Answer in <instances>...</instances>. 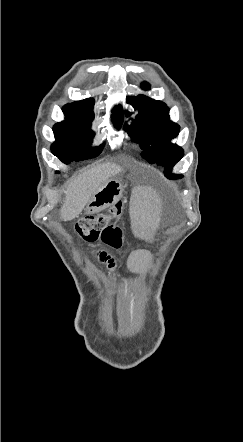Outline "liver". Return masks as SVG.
<instances>
[{
	"label": "liver",
	"mask_w": 243,
	"mask_h": 442,
	"mask_svg": "<svg viewBox=\"0 0 243 442\" xmlns=\"http://www.w3.org/2000/svg\"><path fill=\"white\" fill-rule=\"evenodd\" d=\"M122 168L116 164L104 163L93 167L74 178L66 191L60 214L63 221L78 217L96 190Z\"/></svg>",
	"instance_id": "6515ba94"
}]
</instances>
